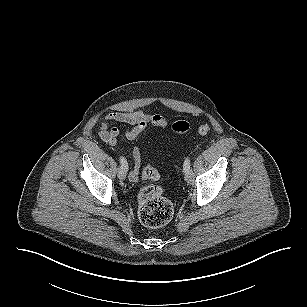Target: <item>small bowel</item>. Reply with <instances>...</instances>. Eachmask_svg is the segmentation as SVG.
I'll return each mask as SVG.
<instances>
[{
  "instance_id": "small-bowel-1",
  "label": "small bowel",
  "mask_w": 307,
  "mask_h": 307,
  "mask_svg": "<svg viewBox=\"0 0 307 307\" xmlns=\"http://www.w3.org/2000/svg\"><path fill=\"white\" fill-rule=\"evenodd\" d=\"M114 123L130 125L131 128L125 131V137L128 140L136 139L142 134L148 125L156 128L165 129L167 127V120L159 114H153L144 110H136L131 112H113L106 116L101 124L99 136L103 142L110 146L118 144V137L120 130L114 126ZM142 151L139 147L133 150L134 166L129 171L128 178L130 181H137L139 178L141 167Z\"/></svg>"
}]
</instances>
